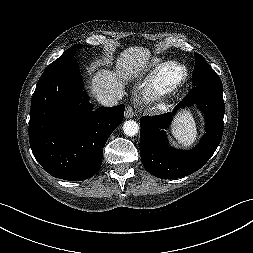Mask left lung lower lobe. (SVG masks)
<instances>
[{
  "instance_id": "0a47b994",
  "label": "left lung lower lobe",
  "mask_w": 253,
  "mask_h": 253,
  "mask_svg": "<svg viewBox=\"0 0 253 253\" xmlns=\"http://www.w3.org/2000/svg\"><path fill=\"white\" fill-rule=\"evenodd\" d=\"M223 87L212 84L194 86L172 113L140 118V154L145 169L162 179H175L199 170L217 149L223 134ZM197 105L206 120V134L192 150L169 147L165 132L176 110Z\"/></svg>"
}]
</instances>
